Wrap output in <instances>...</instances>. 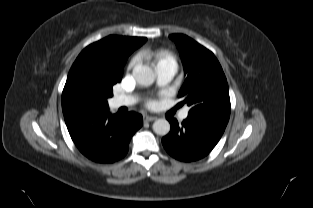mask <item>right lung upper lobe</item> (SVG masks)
<instances>
[{
    "label": "right lung upper lobe",
    "mask_w": 313,
    "mask_h": 208,
    "mask_svg": "<svg viewBox=\"0 0 313 208\" xmlns=\"http://www.w3.org/2000/svg\"><path fill=\"white\" fill-rule=\"evenodd\" d=\"M146 40L144 37L110 35L87 46L69 71L62 93V103L75 101L71 89L75 80L80 77L123 73L128 56Z\"/></svg>",
    "instance_id": "1"
}]
</instances>
